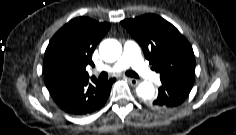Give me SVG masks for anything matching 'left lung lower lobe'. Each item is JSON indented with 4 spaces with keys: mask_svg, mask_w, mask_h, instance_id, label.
I'll use <instances>...</instances> for the list:
<instances>
[{
    "mask_svg": "<svg viewBox=\"0 0 236 135\" xmlns=\"http://www.w3.org/2000/svg\"><path fill=\"white\" fill-rule=\"evenodd\" d=\"M158 97L151 106L158 110H169L181 105L188 97L194 76H169L162 77Z\"/></svg>",
    "mask_w": 236,
    "mask_h": 135,
    "instance_id": "1",
    "label": "left lung lower lobe"
}]
</instances>
